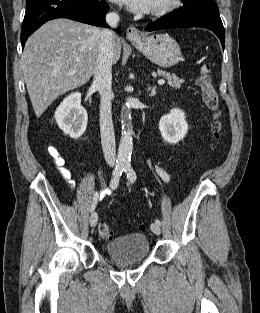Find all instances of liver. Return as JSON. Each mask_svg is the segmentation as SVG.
Wrapping results in <instances>:
<instances>
[{"label": "liver", "mask_w": 260, "mask_h": 313, "mask_svg": "<svg viewBox=\"0 0 260 313\" xmlns=\"http://www.w3.org/2000/svg\"><path fill=\"white\" fill-rule=\"evenodd\" d=\"M100 29L70 19L42 25L27 40L21 68L36 117L60 95L86 84L95 71ZM121 40L113 41V63Z\"/></svg>", "instance_id": "obj_1"}]
</instances>
